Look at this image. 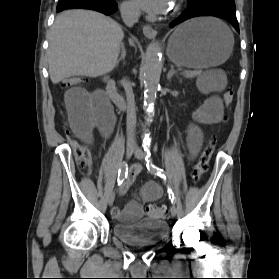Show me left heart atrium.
I'll return each mask as SVG.
<instances>
[{
  "mask_svg": "<svg viewBox=\"0 0 279 279\" xmlns=\"http://www.w3.org/2000/svg\"><path fill=\"white\" fill-rule=\"evenodd\" d=\"M134 3L150 14L163 15L170 10L173 0H134Z\"/></svg>",
  "mask_w": 279,
  "mask_h": 279,
  "instance_id": "1",
  "label": "left heart atrium"
}]
</instances>
